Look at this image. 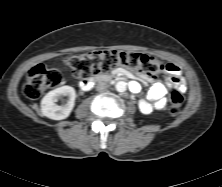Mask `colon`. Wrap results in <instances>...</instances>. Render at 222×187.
<instances>
[{"label":"colon","instance_id":"5ec220e1","mask_svg":"<svg viewBox=\"0 0 222 187\" xmlns=\"http://www.w3.org/2000/svg\"><path fill=\"white\" fill-rule=\"evenodd\" d=\"M65 64L75 77L84 81L95 75L108 73L116 67L138 71L146 76L157 75L166 70V65L154 56L117 50L93 51L67 57ZM61 82L62 77L58 71L39 64L29 71L24 94L29 99H36L46 90L59 86ZM183 103V94L179 90H173L168 98L169 112L177 114Z\"/></svg>","mask_w":222,"mask_h":187}]
</instances>
